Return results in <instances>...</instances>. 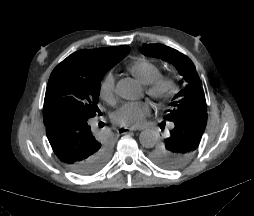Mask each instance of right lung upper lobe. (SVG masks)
<instances>
[{
	"label": "right lung upper lobe",
	"mask_w": 254,
	"mask_h": 216,
	"mask_svg": "<svg viewBox=\"0 0 254 216\" xmlns=\"http://www.w3.org/2000/svg\"><path fill=\"white\" fill-rule=\"evenodd\" d=\"M130 51L128 45H121L115 47H104L95 49H82L78 52L90 53L93 57L98 59L106 71L113 67L115 64L120 62Z\"/></svg>",
	"instance_id": "cb5924a9"
}]
</instances>
